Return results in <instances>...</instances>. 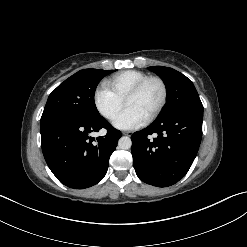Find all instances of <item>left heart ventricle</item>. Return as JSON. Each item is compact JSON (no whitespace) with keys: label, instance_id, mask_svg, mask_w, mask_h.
<instances>
[{"label":"left heart ventricle","instance_id":"1","mask_svg":"<svg viewBox=\"0 0 247 247\" xmlns=\"http://www.w3.org/2000/svg\"><path fill=\"white\" fill-rule=\"evenodd\" d=\"M161 95L160 85L152 81L139 94L130 98L126 102V106L135 107L148 117L160 102Z\"/></svg>","mask_w":247,"mask_h":247}]
</instances>
